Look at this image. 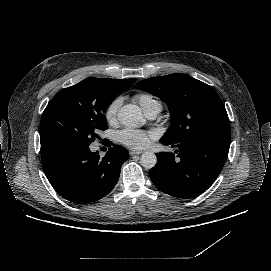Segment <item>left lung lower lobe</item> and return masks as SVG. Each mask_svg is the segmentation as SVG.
Here are the masks:
<instances>
[{
	"mask_svg": "<svg viewBox=\"0 0 271 271\" xmlns=\"http://www.w3.org/2000/svg\"><path fill=\"white\" fill-rule=\"evenodd\" d=\"M160 143L178 147V158L173 153H157L150 179L166 194L193 198L206 191L220 174L228 156L230 136L201 133L179 143L162 139Z\"/></svg>",
	"mask_w": 271,
	"mask_h": 271,
	"instance_id": "0a47b994",
	"label": "left lung lower lobe"
}]
</instances>
